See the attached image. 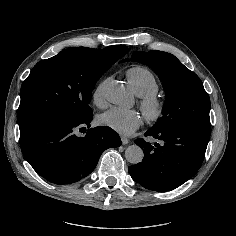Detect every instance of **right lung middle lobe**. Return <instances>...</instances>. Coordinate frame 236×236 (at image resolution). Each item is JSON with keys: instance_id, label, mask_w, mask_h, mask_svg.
<instances>
[{"instance_id": "right-lung-middle-lobe-1", "label": "right lung middle lobe", "mask_w": 236, "mask_h": 236, "mask_svg": "<svg viewBox=\"0 0 236 236\" xmlns=\"http://www.w3.org/2000/svg\"><path fill=\"white\" fill-rule=\"evenodd\" d=\"M128 51L127 46L118 45L72 47L38 62L21 87L20 135L48 120L80 121L91 115L89 103L96 82Z\"/></svg>"}]
</instances>
